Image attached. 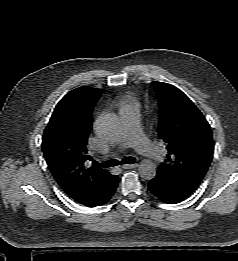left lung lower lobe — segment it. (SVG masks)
<instances>
[{
	"instance_id": "obj_1",
	"label": "left lung lower lobe",
	"mask_w": 238,
	"mask_h": 261,
	"mask_svg": "<svg viewBox=\"0 0 238 261\" xmlns=\"http://www.w3.org/2000/svg\"><path fill=\"white\" fill-rule=\"evenodd\" d=\"M148 189L165 203H179L194 191L161 171H157L155 177L149 181Z\"/></svg>"
}]
</instances>
